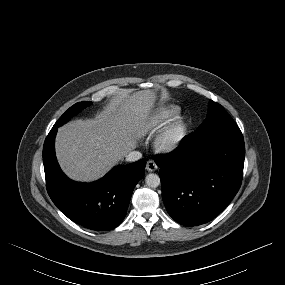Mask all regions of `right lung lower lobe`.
<instances>
[{
  "label": "right lung lower lobe",
  "mask_w": 285,
  "mask_h": 285,
  "mask_svg": "<svg viewBox=\"0 0 285 285\" xmlns=\"http://www.w3.org/2000/svg\"><path fill=\"white\" fill-rule=\"evenodd\" d=\"M57 126L49 132L43 146V163L47 192L54 204L69 219L86 228L106 231L124 219L134 187L144 176L146 161L114 167L92 183L68 179L55 156Z\"/></svg>",
  "instance_id": "obj_1"
}]
</instances>
